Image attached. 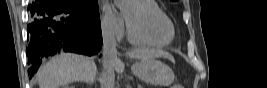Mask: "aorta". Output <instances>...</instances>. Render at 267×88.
<instances>
[{
    "label": "aorta",
    "mask_w": 267,
    "mask_h": 88,
    "mask_svg": "<svg viewBox=\"0 0 267 88\" xmlns=\"http://www.w3.org/2000/svg\"><path fill=\"white\" fill-rule=\"evenodd\" d=\"M116 2L119 6H123L127 2V0H116Z\"/></svg>",
    "instance_id": "762f6f07"
}]
</instances>
